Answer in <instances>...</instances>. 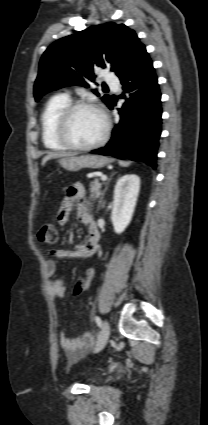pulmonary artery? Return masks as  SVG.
<instances>
[{
	"label": "pulmonary artery",
	"mask_w": 208,
	"mask_h": 425,
	"mask_svg": "<svg viewBox=\"0 0 208 425\" xmlns=\"http://www.w3.org/2000/svg\"><path fill=\"white\" fill-rule=\"evenodd\" d=\"M105 81L108 85H111V86H117L119 83L117 77L109 73L105 74Z\"/></svg>",
	"instance_id": "e3ab8cb5"
}]
</instances>
